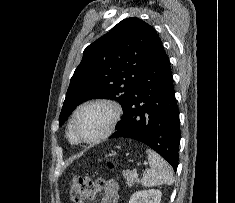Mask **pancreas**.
Masks as SVG:
<instances>
[{"label":"pancreas","instance_id":"1","mask_svg":"<svg viewBox=\"0 0 235 203\" xmlns=\"http://www.w3.org/2000/svg\"><path fill=\"white\" fill-rule=\"evenodd\" d=\"M122 174L127 182V184L129 186L135 184V183H139V179L137 176L134 175V171L131 170H123Z\"/></svg>","mask_w":235,"mask_h":203}]
</instances>
